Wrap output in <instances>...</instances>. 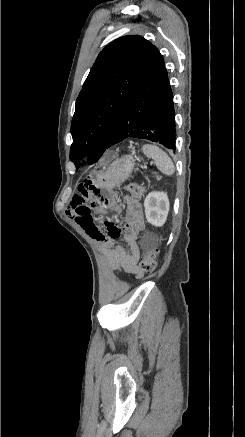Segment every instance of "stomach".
Wrapping results in <instances>:
<instances>
[{
  "label": "stomach",
  "mask_w": 245,
  "mask_h": 437,
  "mask_svg": "<svg viewBox=\"0 0 245 437\" xmlns=\"http://www.w3.org/2000/svg\"><path fill=\"white\" fill-rule=\"evenodd\" d=\"M134 165L135 159L131 155L119 158L109 166L105 174L97 175L94 178V182L114 187L125 181L130 176Z\"/></svg>",
  "instance_id": "stomach-1"
}]
</instances>
